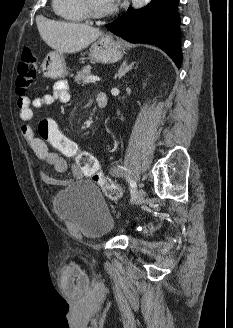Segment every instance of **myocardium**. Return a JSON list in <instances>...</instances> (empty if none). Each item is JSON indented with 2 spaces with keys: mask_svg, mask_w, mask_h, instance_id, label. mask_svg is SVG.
I'll return each instance as SVG.
<instances>
[{
  "mask_svg": "<svg viewBox=\"0 0 233 328\" xmlns=\"http://www.w3.org/2000/svg\"><path fill=\"white\" fill-rule=\"evenodd\" d=\"M82 1L87 16L91 18H97V19L105 18L107 16L112 15L116 11L114 7L105 10L97 9L96 7L93 6L91 0H82Z\"/></svg>",
  "mask_w": 233,
  "mask_h": 328,
  "instance_id": "1",
  "label": "myocardium"
}]
</instances>
